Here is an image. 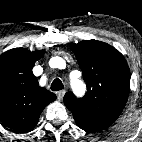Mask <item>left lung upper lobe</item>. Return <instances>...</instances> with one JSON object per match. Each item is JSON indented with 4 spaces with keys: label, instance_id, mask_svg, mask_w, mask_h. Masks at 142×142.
Instances as JSON below:
<instances>
[{
    "label": "left lung upper lobe",
    "instance_id": "obj_1",
    "mask_svg": "<svg viewBox=\"0 0 142 142\" xmlns=\"http://www.w3.org/2000/svg\"><path fill=\"white\" fill-rule=\"evenodd\" d=\"M87 85L84 97L64 96L78 127L87 132L108 128L121 114L130 91V71L122 54L107 43L84 40L72 43Z\"/></svg>",
    "mask_w": 142,
    "mask_h": 142
}]
</instances>
